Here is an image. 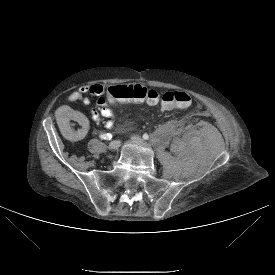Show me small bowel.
Masks as SVG:
<instances>
[{"label":"small bowel","mask_w":275,"mask_h":275,"mask_svg":"<svg viewBox=\"0 0 275 275\" xmlns=\"http://www.w3.org/2000/svg\"><path fill=\"white\" fill-rule=\"evenodd\" d=\"M108 90L109 87L104 84L83 85L68 96V101L89 104L90 97H96V108L93 109L92 116L95 121L111 129L114 125V114L111 105L107 104L104 98ZM56 124L62 136L69 141L80 142L89 131V123L85 117L69 106H63L57 111Z\"/></svg>","instance_id":"1"}]
</instances>
